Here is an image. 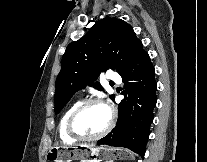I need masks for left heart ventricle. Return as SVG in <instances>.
Returning a JSON list of instances; mask_svg holds the SVG:
<instances>
[{
  "mask_svg": "<svg viewBox=\"0 0 207 162\" xmlns=\"http://www.w3.org/2000/svg\"><path fill=\"white\" fill-rule=\"evenodd\" d=\"M108 120L107 108L100 104H93L76 119L75 129L83 135H96L106 127Z\"/></svg>",
  "mask_w": 207,
  "mask_h": 162,
  "instance_id": "b2bd125f",
  "label": "left heart ventricle"
}]
</instances>
